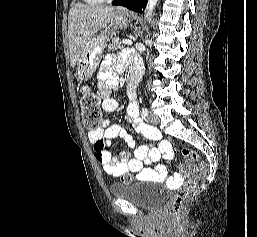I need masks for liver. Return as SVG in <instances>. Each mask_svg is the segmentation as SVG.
Segmentation results:
<instances>
[{
  "label": "liver",
  "mask_w": 257,
  "mask_h": 237,
  "mask_svg": "<svg viewBox=\"0 0 257 237\" xmlns=\"http://www.w3.org/2000/svg\"><path fill=\"white\" fill-rule=\"evenodd\" d=\"M114 7L75 4L69 11L68 38L70 62L75 67L86 43L105 28L114 15Z\"/></svg>",
  "instance_id": "1"
}]
</instances>
